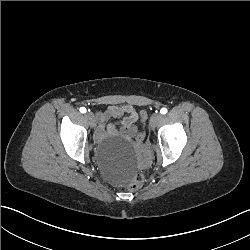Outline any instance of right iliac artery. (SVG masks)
Instances as JSON below:
<instances>
[{"instance_id": "1", "label": "right iliac artery", "mask_w": 250, "mask_h": 250, "mask_svg": "<svg viewBox=\"0 0 250 250\" xmlns=\"http://www.w3.org/2000/svg\"><path fill=\"white\" fill-rule=\"evenodd\" d=\"M80 112H81V113H86V108H85V107H81V108H80Z\"/></svg>"}]
</instances>
